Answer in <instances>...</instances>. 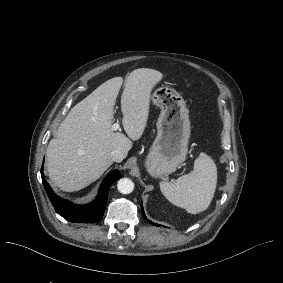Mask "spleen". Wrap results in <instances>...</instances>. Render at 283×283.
I'll use <instances>...</instances> for the list:
<instances>
[{
  "label": "spleen",
  "instance_id": "1",
  "mask_svg": "<svg viewBox=\"0 0 283 283\" xmlns=\"http://www.w3.org/2000/svg\"><path fill=\"white\" fill-rule=\"evenodd\" d=\"M217 183V168L210 156L205 153L194 161V169L181 176L174 183L162 181V194L173 205L197 214L206 210L214 196Z\"/></svg>",
  "mask_w": 283,
  "mask_h": 283
}]
</instances>
